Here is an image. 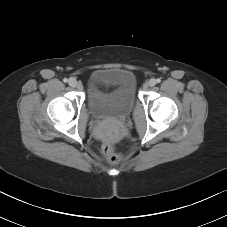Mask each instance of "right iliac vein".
Returning <instances> with one entry per match:
<instances>
[{"instance_id":"right-iliac-vein-1","label":"right iliac vein","mask_w":227,"mask_h":227,"mask_svg":"<svg viewBox=\"0 0 227 227\" xmlns=\"http://www.w3.org/2000/svg\"><path fill=\"white\" fill-rule=\"evenodd\" d=\"M68 84L73 88L77 87L78 85L77 80L75 78H70Z\"/></svg>"}]
</instances>
